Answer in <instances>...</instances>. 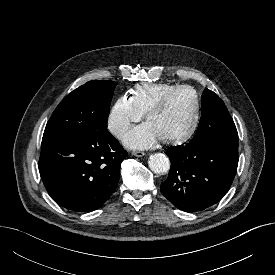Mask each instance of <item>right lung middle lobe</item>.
Listing matches in <instances>:
<instances>
[{"label":"right lung middle lobe","mask_w":275,"mask_h":275,"mask_svg":"<svg viewBox=\"0 0 275 275\" xmlns=\"http://www.w3.org/2000/svg\"><path fill=\"white\" fill-rule=\"evenodd\" d=\"M114 81H89L68 94L49 119L43 139L82 137L107 130Z\"/></svg>","instance_id":"obj_1"}]
</instances>
